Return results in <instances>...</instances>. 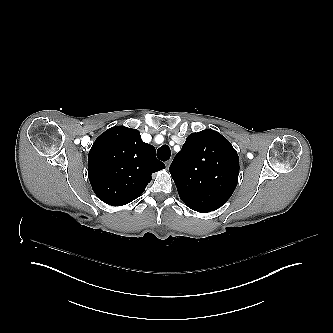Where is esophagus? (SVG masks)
Wrapping results in <instances>:
<instances>
[{
    "instance_id": "1",
    "label": "esophagus",
    "mask_w": 333,
    "mask_h": 333,
    "mask_svg": "<svg viewBox=\"0 0 333 333\" xmlns=\"http://www.w3.org/2000/svg\"><path fill=\"white\" fill-rule=\"evenodd\" d=\"M171 161L166 162V168H169Z\"/></svg>"
}]
</instances>
